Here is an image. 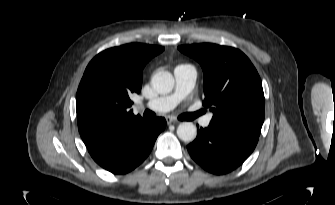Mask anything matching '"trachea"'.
<instances>
[{
	"mask_svg": "<svg viewBox=\"0 0 335 205\" xmlns=\"http://www.w3.org/2000/svg\"><path fill=\"white\" fill-rule=\"evenodd\" d=\"M198 114H201V112H199ZM155 116H156L155 113L150 111V110H145L144 113H143V117H145V118H153ZM183 117L184 116H180L179 118L181 119Z\"/></svg>",
	"mask_w": 335,
	"mask_h": 205,
	"instance_id": "3493384b",
	"label": "trachea"
}]
</instances>
